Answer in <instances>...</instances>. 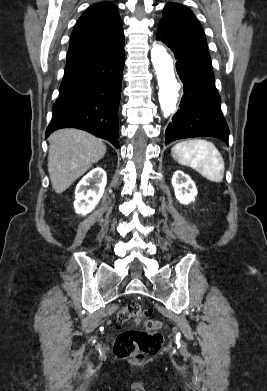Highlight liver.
Here are the masks:
<instances>
[{
    "label": "liver",
    "mask_w": 267,
    "mask_h": 391,
    "mask_svg": "<svg viewBox=\"0 0 267 391\" xmlns=\"http://www.w3.org/2000/svg\"><path fill=\"white\" fill-rule=\"evenodd\" d=\"M48 140V172L58 194L101 160L107 150L101 139L77 129L58 130Z\"/></svg>",
    "instance_id": "6515ba94"
}]
</instances>
